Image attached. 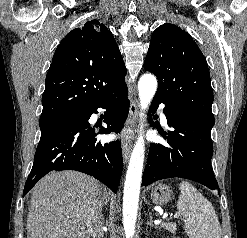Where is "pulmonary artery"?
<instances>
[{
	"mask_svg": "<svg viewBox=\"0 0 247 238\" xmlns=\"http://www.w3.org/2000/svg\"><path fill=\"white\" fill-rule=\"evenodd\" d=\"M160 120H161L163 125H167V118H166L163 110H160Z\"/></svg>",
	"mask_w": 247,
	"mask_h": 238,
	"instance_id": "1",
	"label": "pulmonary artery"
}]
</instances>
